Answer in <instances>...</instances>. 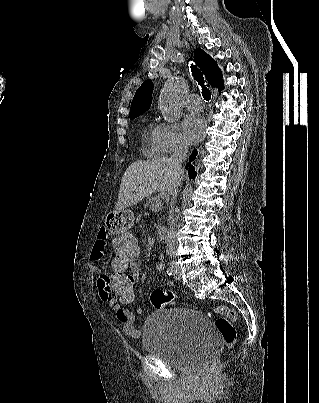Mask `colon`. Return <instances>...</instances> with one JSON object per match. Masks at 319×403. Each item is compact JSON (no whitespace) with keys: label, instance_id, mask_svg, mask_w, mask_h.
<instances>
[{"label":"colon","instance_id":"obj_1","mask_svg":"<svg viewBox=\"0 0 319 403\" xmlns=\"http://www.w3.org/2000/svg\"><path fill=\"white\" fill-rule=\"evenodd\" d=\"M107 231V230H106ZM108 233V232H107ZM112 252L113 292L118 304H137V282H134L133 270L139 268L137 254H141L142 247L139 234H114ZM175 295L164 289L154 290L150 295V302L156 309H165L174 303ZM209 316L217 315L215 326L225 346L232 349L236 343L234 321L236 312L225 306H219L208 312ZM219 368V361L213 359L208 363L207 372H215Z\"/></svg>","mask_w":319,"mask_h":403}]
</instances>
